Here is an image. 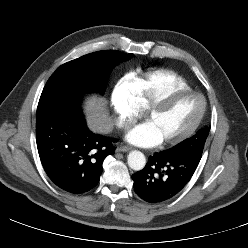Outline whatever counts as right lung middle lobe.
<instances>
[{"mask_svg":"<svg viewBox=\"0 0 248 248\" xmlns=\"http://www.w3.org/2000/svg\"><path fill=\"white\" fill-rule=\"evenodd\" d=\"M133 54L104 50L84 55L58 67L47 81L38 105L77 104L82 92L104 93L114 65Z\"/></svg>","mask_w":248,"mask_h":248,"instance_id":"right-lung-middle-lobe-1","label":"right lung middle lobe"}]
</instances>
